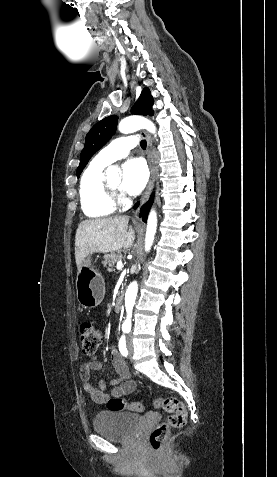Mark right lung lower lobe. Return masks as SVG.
Wrapping results in <instances>:
<instances>
[{
  "label": "right lung lower lobe",
  "mask_w": 277,
  "mask_h": 477,
  "mask_svg": "<svg viewBox=\"0 0 277 477\" xmlns=\"http://www.w3.org/2000/svg\"><path fill=\"white\" fill-rule=\"evenodd\" d=\"M152 202H153V196H151V198L149 199L147 204H145L143 206L142 210H141V215H142V219H143L144 222H146V220H147V215L149 213L150 206H151ZM137 206H138V204L135 207H137Z\"/></svg>",
  "instance_id": "obj_1"
}]
</instances>
